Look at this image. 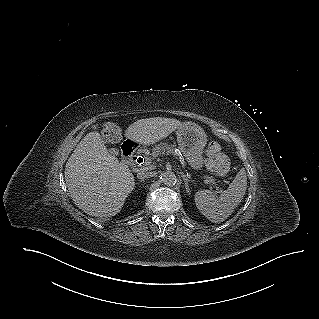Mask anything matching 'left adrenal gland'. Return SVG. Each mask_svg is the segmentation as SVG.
<instances>
[{
  "instance_id": "1",
  "label": "left adrenal gland",
  "mask_w": 319,
  "mask_h": 319,
  "mask_svg": "<svg viewBox=\"0 0 319 319\" xmlns=\"http://www.w3.org/2000/svg\"><path fill=\"white\" fill-rule=\"evenodd\" d=\"M183 179H184V182H185V188H186V192L188 194H190V188H189V185H188V179L186 177V175L184 173H181Z\"/></svg>"
}]
</instances>
